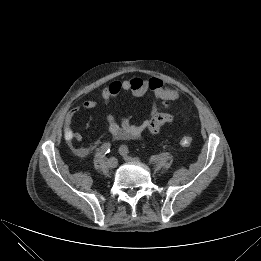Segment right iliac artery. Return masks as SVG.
Segmentation results:
<instances>
[{
	"label": "right iliac artery",
	"instance_id": "right-iliac-artery-1",
	"mask_svg": "<svg viewBox=\"0 0 261 261\" xmlns=\"http://www.w3.org/2000/svg\"><path fill=\"white\" fill-rule=\"evenodd\" d=\"M110 149H111V144H110V143H104V144L101 146V153L107 154V153L110 152Z\"/></svg>",
	"mask_w": 261,
	"mask_h": 261
}]
</instances>
